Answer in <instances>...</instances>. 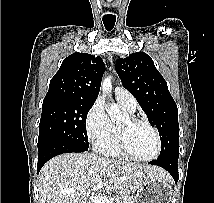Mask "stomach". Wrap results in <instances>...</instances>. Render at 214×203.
Returning <instances> with one entry per match:
<instances>
[{
  "label": "stomach",
  "mask_w": 214,
  "mask_h": 203,
  "mask_svg": "<svg viewBox=\"0 0 214 203\" xmlns=\"http://www.w3.org/2000/svg\"><path fill=\"white\" fill-rule=\"evenodd\" d=\"M173 191L165 177L149 178L137 191L135 203H171Z\"/></svg>",
  "instance_id": "1"
}]
</instances>
